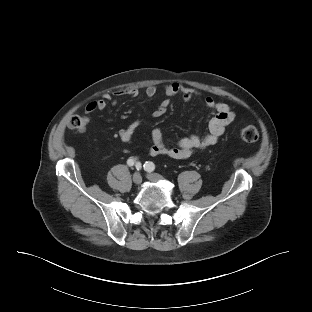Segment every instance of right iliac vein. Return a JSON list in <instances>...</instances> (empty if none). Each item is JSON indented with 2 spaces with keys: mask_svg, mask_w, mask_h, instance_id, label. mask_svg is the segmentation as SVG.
<instances>
[{
  "mask_svg": "<svg viewBox=\"0 0 312 312\" xmlns=\"http://www.w3.org/2000/svg\"><path fill=\"white\" fill-rule=\"evenodd\" d=\"M133 182L134 184L136 185H140L141 182H142V176L140 173L136 172L134 175H133Z\"/></svg>",
  "mask_w": 312,
  "mask_h": 312,
  "instance_id": "1",
  "label": "right iliac vein"
}]
</instances>
